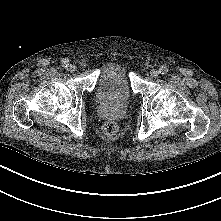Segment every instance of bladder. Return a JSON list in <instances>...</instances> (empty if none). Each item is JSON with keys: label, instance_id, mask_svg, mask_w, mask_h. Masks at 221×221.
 Returning <instances> with one entry per match:
<instances>
[{"label": "bladder", "instance_id": "obj_1", "mask_svg": "<svg viewBox=\"0 0 221 221\" xmlns=\"http://www.w3.org/2000/svg\"><path fill=\"white\" fill-rule=\"evenodd\" d=\"M130 70L124 61H107L95 87V99L104 103H129L133 95Z\"/></svg>", "mask_w": 221, "mask_h": 221}]
</instances>
